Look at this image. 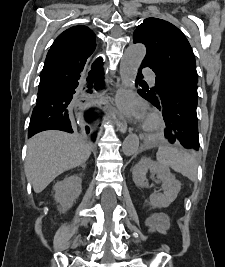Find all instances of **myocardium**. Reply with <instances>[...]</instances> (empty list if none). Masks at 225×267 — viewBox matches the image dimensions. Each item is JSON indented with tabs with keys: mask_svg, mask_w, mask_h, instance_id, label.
<instances>
[{
	"mask_svg": "<svg viewBox=\"0 0 225 267\" xmlns=\"http://www.w3.org/2000/svg\"><path fill=\"white\" fill-rule=\"evenodd\" d=\"M162 126H163V120H162L161 116L156 112H151L147 116V118L144 122L143 128L146 131L153 132V131L160 130L162 128Z\"/></svg>",
	"mask_w": 225,
	"mask_h": 267,
	"instance_id": "1",
	"label": "myocardium"
}]
</instances>
